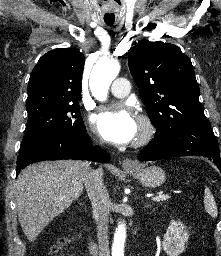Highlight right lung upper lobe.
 Instances as JSON below:
<instances>
[{"instance_id": "cb5924a9", "label": "right lung upper lobe", "mask_w": 221, "mask_h": 256, "mask_svg": "<svg viewBox=\"0 0 221 256\" xmlns=\"http://www.w3.org/2000/svg\"><path fill=\"white\" fill-rule=\"evenodd\" d=\"M83 67L84 55L76 49L47 52L31 73L26 109L42 104L78 103Z\"/></svg>"}]
</instances>
